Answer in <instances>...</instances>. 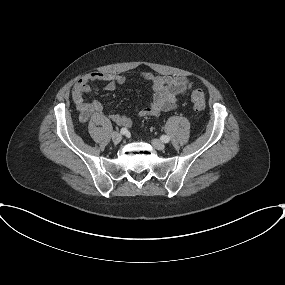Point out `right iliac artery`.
<instances>
[{"instance_id": "1", "label": "right iliac artery", "mask_w": 285, "mask_h": 285, "mask_svg": "<svg viewBox=\"0 0 285 285\" xmlns=\"http://www.w3.org/2000/svg\"><path fill=\"white\" fill-rule=\"evenodd\" d=\"M120 132L121 134L125 135L127 134L128 130L126 128H122Z\"/></svg>"}]
</instances>
